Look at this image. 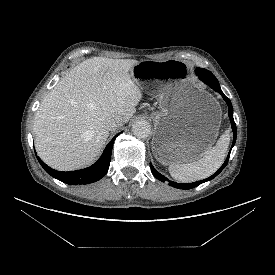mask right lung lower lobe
Instances as JSON below:
<instances>
[{"label": "right lung lower lobe", "mask_w": 275, "mask_h": 275, "mask_svg": "<svg viewBox=\"0 0 275 275\" xmlns=\"http://www.w3.org/2000/svg\"><path fill=\"white\" fill-rule=\"evenodd\" d=\"M116 137H114L106 146L100 159L92 166L76 170L73 172H61L56 171L47 166L39 157H37L39 163L44 170L54 178L66 183V184H89L100 180L108 171L111 160V152L113 143Z\"/></svg>", "instance_id": "98d812e1"}]
</instances>
